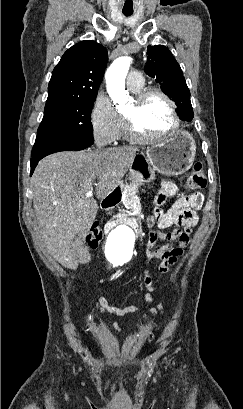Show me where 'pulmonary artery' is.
<instances>
[{"mask_svg": "<svg viewBox=\"0 0 243 409\" xmlns=\"http://www.w3.org/2000/svg\"><path fill=\"white\" fill-rule=\"evenodd\" d=\"M127 86L131 89H138L143 86L144 79L140 72L138 71H131L127 75L126 79Z\"/></svg>", "mask_w": 243, "mask_h": 409, "instance_id": "e3ab8cb5", "label": "pulmonary artery"}]
</instances>
